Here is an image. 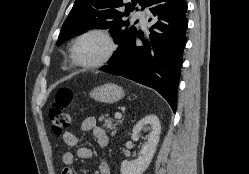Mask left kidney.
I'll use <instances>...</instances> for the list:
<instances>
[{
    "mask_svg": "<svg viewBox=\"0 0 249 174\" xmlns=\"http://www.w3.org/2000/svg\"><path fill=\"white\" fill-rule=\"evenodd\" d=\"M149 125L151 132L147 136V142L143 145L140 155L136 160H124L121 164V174H142L151 163L161 133V124L156 115H147L141 119L133 128L132 140H139V133L143 127Z\"/></svg>",
    "mask_w": 249,
    "mask_h": 174,
    "instance_id": "left-kidney-1",
    "label": "left kidney"
}]
</instances>
